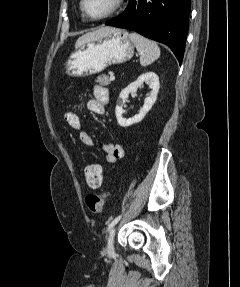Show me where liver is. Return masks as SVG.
<instances>
[{
    "mask_svg": "<svg viewBox=\"0 0 240 287\" xmlns=\"http://www.w3.org/2000/svg\"><path fill=\"white\" fill-rule=\"evenodd\" d=\"M114 29H115L114 27H102V28L97 29L96 31L85 33L84 35H82L81 37L77 39L75 46L78 47L86 42L92 41L94 39H98L108 34Z\"/></svg>",
    "mask_w": 240,
    "mask_h": 287,
    "instance_id": "liver-1",
    "label": "liver"
}]
</instances>
